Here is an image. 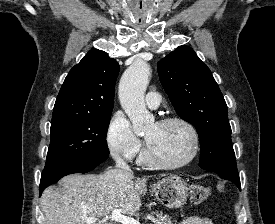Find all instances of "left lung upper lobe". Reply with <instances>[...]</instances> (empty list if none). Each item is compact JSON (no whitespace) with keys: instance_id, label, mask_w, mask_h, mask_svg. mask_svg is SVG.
<instances>
[{"instance_id":"left-lung-upper-lobe-1","label":"left lung upper lobe","mask_w":275,"mask_h":224,"mask_svg":"<svg viewBox=\"0 0 275 224\" xmlns=\"http://www.w3.org/2000/svg\"><path fill=\"white\" fill-rule=\"evenodd\" d=\"M157 69L175 111L199 134L200 167L223 179L239 178L227 105L206 64L192 48L179 46Z\"/></svg>"}]
</instances>
